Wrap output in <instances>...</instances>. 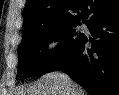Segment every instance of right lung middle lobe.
<instances>
[{
  "mask_svg": "<svg viewBox=\"0 0 119 95\" xmlns=\"http://www.w3.org/2000/svg\"><path fill=\"white\" fill-rule=\"evenodd\" d=\"M80 23L63 22L42 25L22 35L18 47V75L42 76L54 67L83 37L76 32ZM56 40L57 47L48 50V43Z\"/></svg>",
  "mask_w": 119,
  "mask_h": 95,
  "instance_id": "1",
  "label": "right lung middle lobe"
}]
</instances>
